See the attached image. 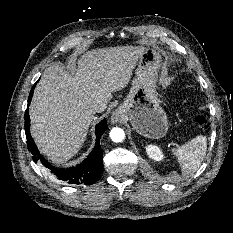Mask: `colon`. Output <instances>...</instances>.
<instances>
[{
  "mask_svg": "<svg viewBox=\"0 0 233 233\" xmlns=\"http://www.w3.org/2000/svg\"><path fill=\"white\" fill-rule=\"evenodd\" d=\"M194 121L199 129L206 130L207 129V119L205 115L198 113L194 115Z\"/></svg>",
  "mask_w": 233,
  "mask_h": 233,
  "instance_id": "1",
  "label": "colon"
}]
</instances>
